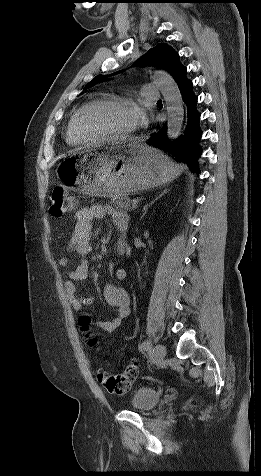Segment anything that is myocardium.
Instances as JSON below:
<instances>
[{
	"label": "myocardium",
	"instance_id": "1",
	"mask_svg": "<svg viewBox=\"0 0 261 476\" xmlns=\"http://www.w3.org/2000/svg\"><path fill=\"white\" fill-rule=\"evenodd\" d=\"M99 105H115V106H124L131 107L133 109L138 108L137 105L129 100L121 98H98L94 99L83 106H81L73 117V130L77 138L84 143H101L105 141H125L132 137L134 133V128L123 134H106V135H97L90 136L83 132L81 128V117L82 115L90 108L99 106Z\"/></svg>",
	"mask_w": 261,
	"mask_h": 476
}]
</instances>
